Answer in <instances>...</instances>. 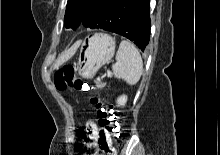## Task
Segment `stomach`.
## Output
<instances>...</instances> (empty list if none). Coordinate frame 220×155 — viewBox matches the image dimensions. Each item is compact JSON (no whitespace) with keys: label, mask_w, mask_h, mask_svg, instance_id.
I'll use <instances>...</instances> for the list:
<instances>
[{"label":"stomach","mask_w":220,"mask_h":155,"mask_svg":"<svg viewBox=\"0 0 220 155\" xmlns=\"http://www.w3.org/2000/svg\"><path fill=\"white\" fill-rule=\"evenodd\" d=\"M115 39L106 33H97L85 38L76 64L77 71L85 79H91L114 55Z\"/></svg>","instance_id":"obj_1"}]
</instances>
